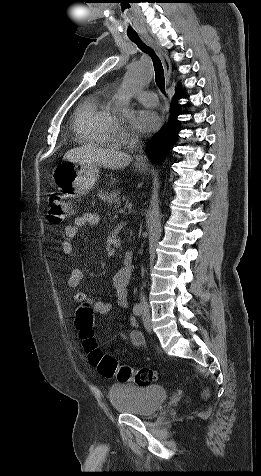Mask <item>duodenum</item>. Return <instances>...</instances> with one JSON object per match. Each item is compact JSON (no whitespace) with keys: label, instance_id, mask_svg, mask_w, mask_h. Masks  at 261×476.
<instances>
[{"label":"duodenum","instance_id":"duodenum-1","mask_svg":"<svg viewBox=\"0 0 261 476\" xmlns=\"http://www.w3.org/2000/svg\"><path fill=\"white\" fill-rule=\"evenodd\" d=\"M133 269V254L131 252H126L123 259V270L125 273L130 276Z\"/></svg>","mask_w":261,"mask_h":476}]
</instances>
